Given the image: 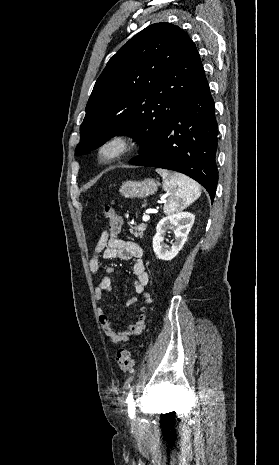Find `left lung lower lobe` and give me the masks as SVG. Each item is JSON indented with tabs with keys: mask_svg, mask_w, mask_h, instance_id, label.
<instances>
[{
	"mask_svg": "<svg viewBox=\"0 0 279 465\" xmlns=\"http://www.w3.org/2000/svg\"><path fill=\"white\" fill-rule=\"evenodd\" d=\"M217 128L214 101L201 65L181 109L166 130L130 163L181 172L205 187L213 201L218 181Z\"/></svg>",
	"mask_w": 279,
	"mask_h": 465,
	"instance_id": "1",
	"label": "left lung lower lobe"
}]
</instances>
